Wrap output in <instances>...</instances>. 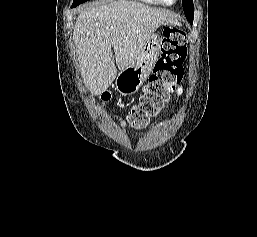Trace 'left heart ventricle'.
<instances>
[{"mask_svg": "<svg viewBox=\"0 0 257 237\" xmlns=\"http://www.w3.org/2000/svg\"><path fill=\"white\" fill-rule=\"evenodd\" d=\"M168 2H172L173 0H167Z\"/></svg>", "mask_w": 257, "mask_h": 237, "instance_id": "1", "label": "left heart ventricle"}]
</instances>
